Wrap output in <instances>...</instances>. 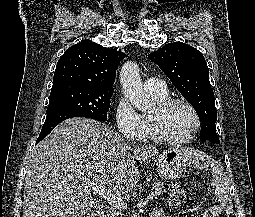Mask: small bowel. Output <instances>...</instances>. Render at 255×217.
Masks as SVG:
<instances>
[{
  "mask_svg": "<svg viewBox=\"0 0 255 217\" xmlns=\"http://www.w3.org/2000/svg\"><path fill=\"white\" fill-rule=\"evenodd\" d=\"M219 211H217L215 208H211L207 214L206 217H215L217 215ZM151 217H172L169 215H166L162 210L160 209H155L152 214Z\"/></svg>",
  "mask_w": 255,
  "mask_h": 217,
  "instance_id": "small-bowel-1",
  "label": "small bowel"
}]
</instances>
